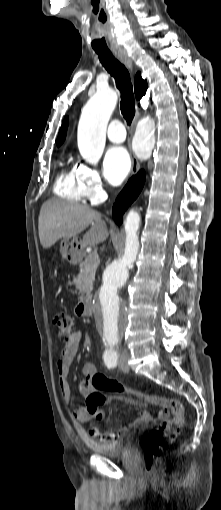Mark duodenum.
Here are the masks:
<instances>
[{"mask_svg": "<svg viewBox=\"0 0 221 510\" xmlns=\"http://www.w3.org/2000/svg\"><path fill=\"white\" fill-rule=\"evenodd\" d=\"M93 303H94V299H89L84 302H81L78 305L79 312L84 314L87 317L91 316L92 310H93Z\"/></svg>", "mask_w": 221, "mask_h": 510, "instance_id": "obj_1", "label": "duodenum"}]
</instances>
